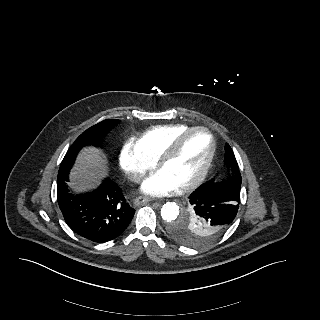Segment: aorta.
<instances>
[{
	"label": "aorta",
	"mask_w": 320,
	"mask_h": 320,
	"mask_svg": "<svg viewBox=\"0 0 320 320\" xmlns=\"http://www.w3.org/2000/svg\"><path fill=\"white\" fill-rule=\"evenodd\" d=\"M179 215V206L174 202H167L161 208V217L167 222L174 221Z\"/></svg>",
	"instance_id": "obj_1"
}]
</instances>
